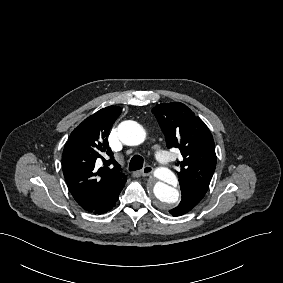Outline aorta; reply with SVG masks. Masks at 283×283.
<instances>
[{
    "label": "aorta",
    "instance_id": "762f6f07",
    "mask_svg": "<svg viewBox=\"0 0 283 283\" xmlns=\"http://www.w3.org/2000/svg\"><path fill=\"white\" fill-rule=\"evenodd\" d=\"M118 137L128 146H137L144 142L146 132L135 121H124L118 126ZM158 181L153 186V194L162 208L175 205L179 200V191L174 187L177 184L175 174L168 168L161 167L155 172Z\"/></svg>",
    "mask_w": 283,
    "mask_h": 283
}]
</instances>
